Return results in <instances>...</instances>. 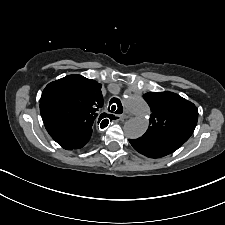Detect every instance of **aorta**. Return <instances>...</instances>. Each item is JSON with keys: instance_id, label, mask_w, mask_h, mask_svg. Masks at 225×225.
Masks as SVG:
<instances>
[{"instance_id": "1", "label": "aorta", "mask_w": 225, "mask_h": 225, "mask_svg": "<svg viewBox=\"0 0 225 225\" xmlns=\"http://www.w3.org/2000/svg\"><path fill=\"white\" fill-rule=\"evenodd\" d=\"M125 106L135 114L124 124V133L130 139L141 137L149 126L148 115L150 109L148 104L140 97L131 95L123 99Z\"/></svg>"}]
</instances>
